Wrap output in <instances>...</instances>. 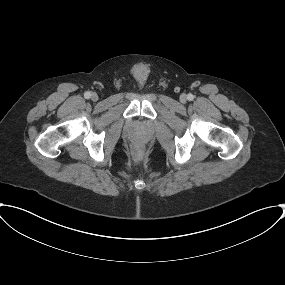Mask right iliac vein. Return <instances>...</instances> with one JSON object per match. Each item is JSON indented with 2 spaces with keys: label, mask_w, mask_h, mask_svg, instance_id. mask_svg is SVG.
Wrapping results in <instances>:
<instances>
[{
  "label": "right iliac vein",
  "mask_w": 285,
  "mask_h": 285,
  "mask_svg": "<svg viewBox=\"0 0 285 285\" xmlns=\"http://www.w3.org/2000/svg\"><path fill=\"white\" fill-rule=\"evenodd\" d=\"M91 99H92L93 101H97V100H98V95H97L96 93H92V94H91Z\"/></svg>",
  "instance_id": "obj_1"
}]
</instances>
